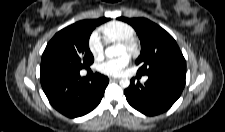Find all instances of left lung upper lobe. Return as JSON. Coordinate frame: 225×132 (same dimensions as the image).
Segmentation results:
<instances>
[{
	"mask_svg": "<svg viewBox=\"0 0 225 132\" xmlns=\"http://www.w3.org/2000/svg\"><path fill=\"white\" fill-rule=\"evenodd\" d=\"M137 32L141 42V55L136 60L138 73H186V63L174 38L159 25L145 18H125Z\"/></svg>",
	"mask_w": 225,
	"mask_h": 132,
	"instance_id": "left-lung-upper-lobe-1",
	"label": "left lung upper lobe"
}]
</instances>
